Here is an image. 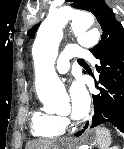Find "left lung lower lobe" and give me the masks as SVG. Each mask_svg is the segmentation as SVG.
Here are the masks:
<instances>
[{
  "label": "left lung lower lobe",
  "instance_id": "1",
  "mask_svg": "<svg viewBox=\"0 0 124 149\" xmlns=\"http://www.w3.org/2000/svg\"><path fill=\"white\" fill-rule=\"evenodd\" d=\"M93 55L100 60L96 66L99 80L95 82L100 92L93 95L94 115L90 128L110 123L124 133V45Z\"/></svg>",
  "mask_w": 124,
  "mask_h": 149
}]
</instances>
